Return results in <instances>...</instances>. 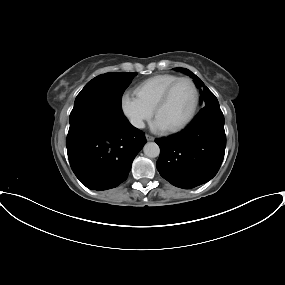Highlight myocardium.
Segmentation results:
<instances>
[{
    "mask_svg": "<svg viewBox=\"0 0 285 285\" xmlns=\"http://www.w3.org/2000/svg\"><path fill=\"white\" fill-rule=\"evenodd\" d=\"M184 81L190 83L193 88L194 104H193L190 114L184 121H182L177 126L168 129L170 133H176L186 128L193 121V119L195 118L197 114L199 104H200V92H199V88L196 85L195 81L189 77H179L166 88V90L163 92V94L161 95V97L159 98V100L157 101L153 109L154 115L157 116L158 111L169 101L176 86L179 83L184 82Z\"/></svg>",
    "mask_w": 285,
    "mask_h": 285,
    "instance_id": "myocardium-1",
    "label": "myocardium"
}]
</instances>
